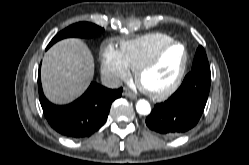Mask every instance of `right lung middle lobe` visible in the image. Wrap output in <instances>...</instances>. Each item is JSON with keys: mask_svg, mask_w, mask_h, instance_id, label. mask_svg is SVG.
<instances>
[{"mask_svg": "<svg viewBox=\"0 0 249 165\" xmlns=\"http://www.w3.org/2000/svg\"><path fill=\"white\" fill-rule=\"evenodd\" d=\"M104 29L88 22H79L76 24H73L66 29L59 32L49 43L47 48H49L51 45H53L55 42L67 38V37H81V38H89L92 37L100 32H102Z\"/></svg>", "mask_w": 249, "mask_h": 165, "instance_id": "dd1d6c3e", "label": "right lung middle lobe"}]
</instances>
